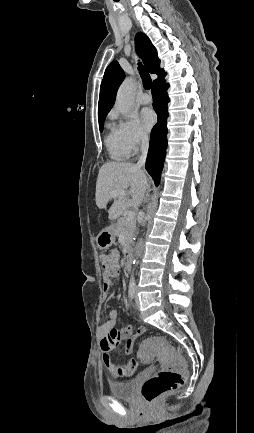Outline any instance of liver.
<instances>
[{
  "label": "liver",
  "instance_id": "obj_1",
  "mask_svg": "<svg viewBox=\"0 0 254 433\" xmlns=\"http://www.w3.org/2000/svg\"><path fill=\"white\" fill-rule=\"evenodd\" d=\"M146 173L129 162H108L99 169L96 182V205L106 209L111 193L123 191L126 196H117L108 210L109 219L115 220L129 207H138L148 186ZM128 195V196H127Z\"/></svg>",
  "mask_w": 254,
  "mask_h": 433
}]
</instances>
